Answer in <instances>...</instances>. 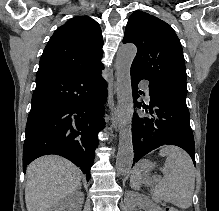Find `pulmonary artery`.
I'll return each instance as SVG.
<instances>
[{"mask_svg": "<svg viewBox=\"0 0 219 211\" xmlns=\"http://www.w3.org/2000/svg\"><path fill=\"white\" fill-rule=\"evenodd\" d=\"M144 89H145L146 93L148 94V87L145 86Z\"/></svg>", "mask_w": 219, "mask_h": 211, "instance_id": "1", "label": "pulmonary artery"}]
</instances>
